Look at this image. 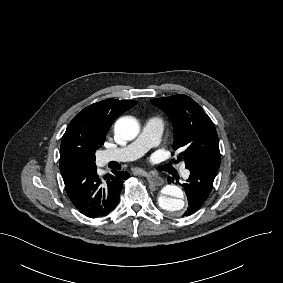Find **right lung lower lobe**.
<instances>
[{
    "instance_id": "1",
    "label": "right lung lower lobe",
    "mask_w": 283,
    "mask_h": 283,
    "mask_svg": "<svg viewBox=\"0 0 283 283\" xmlns=\"http://www.w3.org/2000/svg\"><path fill=\"white\" fill-rule=\"evenodd\" d=\"M61 174L72 204L89 218L106 216L116 207L123 181L129 177L128 172L113 171L100 178L96 164L73 166Z\"/></svg>"
}]
</instances>
